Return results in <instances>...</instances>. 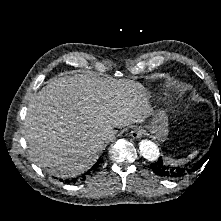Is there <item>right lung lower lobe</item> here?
<instances>
[{"mask_svg":"<svg viewBox=\"0 0 221 221\" xmlns=\"http://www.w3.org/2000/svg\"><path fill=\"white\" fill-rule=\"evenodd\" d=\"M100 162H102V159H98V161L93 165V167L91 169H89L87 172H85L84 174H82V176L80 177L81 180L86 179L87 175H91L93 172H95L100 164ZM77 178H73L71 180L67 179L65 180V182L70 183V182H76Z\"/></svg>","mask_w":221,"mask_h":221,"instance_id":"right-lung-lower-lobe-1","label":"right lung lower lobe"}]
</instances>
